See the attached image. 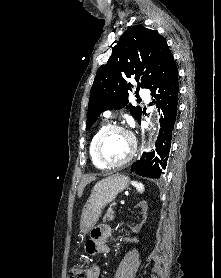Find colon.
I'll use <instances>...</instances> for the list:
<instances>
[{
    "instance_id": "colon-1",
    "label": "colon",
    "mask_w": 221,
    "mask_h": 278,
    "mask_svg": "<svg viewBox=\"0 0 221 278\" xmlns=\"http://www.w3.org/2000/svg\"><path fill=\"white\" fill-rule=\"evenodd\" d=\"M68 278H88L87 269L82 266H73L68 272Z\"/></svg>"
}]
</instances>
